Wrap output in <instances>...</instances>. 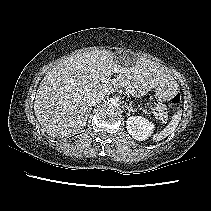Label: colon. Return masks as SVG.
<instances>
[{
  "label": "colon",
  "instance_id": "5ec220e1",
  "mask_svg": "<svg viewBox=\"0 0 211 211\" xmlns=\"http://www.w3.org/2000/svg\"><path fill=\"white\" fill-rule=\"evenodd\" d=\"M180 100V95L179 94H175L172 97H170L169 99H167V103L168 104H176L178 103Z\"/></svg>",
  "mask_w": 211,
  "mask_h": 211
}]
</instances>
